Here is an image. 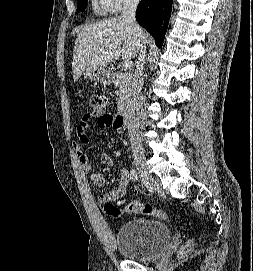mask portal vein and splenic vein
<instances>
[{
  "instance_id": "18ae733b",
  "label": "portal vein and splenic vein",
  "mask_w": 253,
  "mask_h": 271,
  "mask_svg": "<svg viewBox=\"0 0 253 271\" xmlns=\"http://www.w3.org/2000/svg\"><path fill=\"white\" fill-rule=\"evenodd\" d=\"M132 66H133V63H132V61H130V60H125L124 62H123V67H124V69H131L132 68Z\"/></svg>"
}]
</instances>
